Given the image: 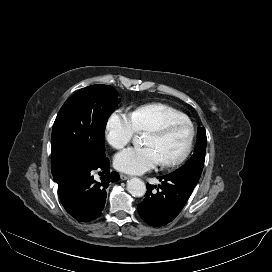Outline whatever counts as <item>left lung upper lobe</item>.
<instances>
[{"label": "left lung upper lobe", "mask_w": 272, "mask_h": 272, "mask_svg": "<svg viewBox=\"0 0 272 272\" xmlns=\"http://www.w3.org/2000/svg\"><path fill=\"white\" fill-rule=\"evenodd\" d=\"M206 144L205 128L199 127L197 131V145L193 156L182 167L171 174L199 181L205 161Z\"/></svg>", "instance_id": "5c2ea615"}]
</instances>
